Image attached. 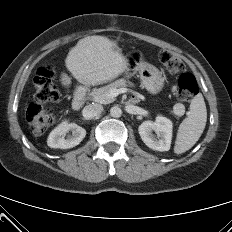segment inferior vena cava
<instances>
[{"mask_svg": "<svg viewBox=\"0 0 232 232\" xmlns=\"http://www.w3.org/2000/svg\"><path fill=\"white\" fill-rule=\"evenodd\" d=\"M103 111V106L100 104L88 105L83 110V117L85 119H91L99 116Z\"/></svg>", "mask_w": 232, "mask_h": 232, "instance_id": "602c4592", "label": "inferior vena cava"}]
</instances>
